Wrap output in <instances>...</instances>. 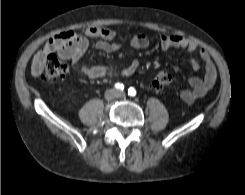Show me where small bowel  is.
Masks as SVG:
<instances>
[{"label":"small bowel","instance_id":"small-bowel-1","mask_svg":"<svg viewBox=\"0 0 245 195\" xmlns=\"http://www.w3.org/2000/svg\"><path fill=\"white\" fill-rule=\"evenodd\" d=\"M116 32L106 27H88L83 33L74 31H65L51 38L46 45L39 50L33 57L31 72L34 76H39L43 70L44 64L49 54L58 53L62 59L71 60L73 66H77L83 54L86 52L89 39H96V48L105 52H114L121 48L120 44L113 40ZM161 47L164 50L182 49L190 55L192 68L197 71L200 69L199 61L192 55L198 51L200 59L204 65V76L191 77L188 80L189 88L184 89L181 94V100L190 104L196 99L204 96L214 85L217 78V70L206 49L200 47L197 43L175 34H164L160 38ZM130 45L135 49H143L149 45L148 37L143 34H137L132 37ZM139 66V61L133 59L127 66L120 71H116L111 66H80V74L91 78L113 77L115 75L131 76Z\"/></svg>","mask_w":245,"mask_h":195}]
</instances>
